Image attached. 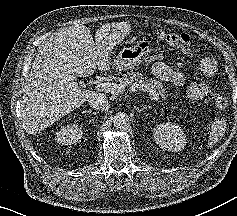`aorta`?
Returning a JSON list of instances; mask_svg holds the SVG:
<instances>
[{"mask_svg": "<svg viewBox=\"0 0 237 216\" xmlns=\"http://www.w3.org/2000/svg\"><path fill=\"white\" fill-rule=\"evenodd\" d=\"M129 123V116L126 113L118 112L113 117V126L117 129L125 128Z\"/></svg>", "mask_w": 237, "mask_h": 216, "instance_id": "762f6f07", "label": "aorta"}]
</instances>
